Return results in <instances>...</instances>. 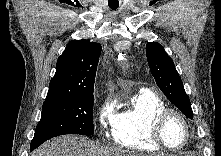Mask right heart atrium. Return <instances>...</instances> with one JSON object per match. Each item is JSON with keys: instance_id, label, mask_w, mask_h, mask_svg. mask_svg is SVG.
Segmentation results:
<instances>
[{"instance_id": "1", "label": "right heart atrium", "mask_w": 221, "mask_h": 156, "mask_svg": "<svg viewBox=\"0 0 221 156\" xmlns=\"http://www.w3.org/2000/svg\"><path fill=\"white\" fill-rule=\"evenodd\" d=\"M115 103L112 99L106 98L100 105L97 119L102 134L113 129L116 114L114 113Z\"/></svg>"}]
</instances>
